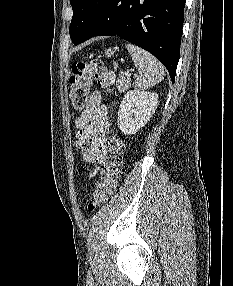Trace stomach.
I'll list each match as a JSON object with an SVG mask.
<instances>
[{"instance_id": "obj_1", "label": "stomach", "mask_w": 233, "mask_h": 286, "mask_svg": "<svg viewBox=\"0 0 233 286\" xmlns=\"http://www.w3.org/2000/svg\"><path fill=\"white\" fill-rule=\"evenodd\" d=\"M114 53H115V51H114V49H112V48H109V49H107V50L105 51V55H106L107 57H111L112 55H114Z\"/></svg>"}]
</instances>
